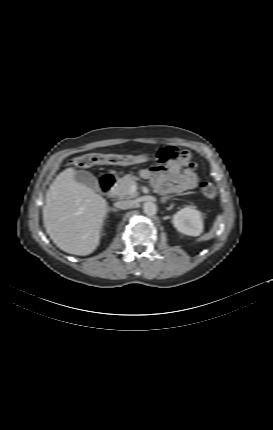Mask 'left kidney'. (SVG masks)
I'll return each instance as SVG.
<instances>
[{
    "label": "left kidney",
    "instance_id": "5707ae66",
    "mask_svg": "<svg viewBox=\"0 0 273 430\" xmlns=\"http://www.w3.org/2000/svg\"><path fill=\"white\" fill-rule=\"evenodd\" d=\"M174 227L189 236H199L203 232V215L192 206L178 211L172 219Z\"/></svg>",
    "mask_w": 273,
    "mask_h": 430
}]
</instances>
